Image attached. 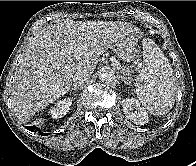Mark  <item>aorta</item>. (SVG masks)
I'll return each mask as SVG.
<instances>
[{"label":"aorta","instance_id":"obj_1","mask_svg":"<svg viewBox=\"0 0 196 166\" xmlns=\"http://www.w3.org/2000/svg\"><path fill=\"white\" fill-rule=\"evenodd\" d=\"M99 79L102 82L110 83L115 79V71L109 66H103L99 70Z\"/></svg>","mask_w":196,"mask_h":166}]
</instances>
